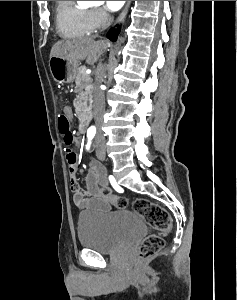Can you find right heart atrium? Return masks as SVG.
<instances>
[{
	"instance_id": "obj_1",
	"label": "right heart atrium",
	"mask_w": 237,
	"mask_h": 300,
	"mask_svg": "<svg viewBox=\"0 0 237 300\" xmlns=\"http://www.w3.org/2000/svg\"><path fill=\"white\" fill-rule=\"evenodd\" d=\"M109 20V15L103 9L93 8L87 12V31L92 32L106 25Z\"/></svg>"
}]
</instances>
